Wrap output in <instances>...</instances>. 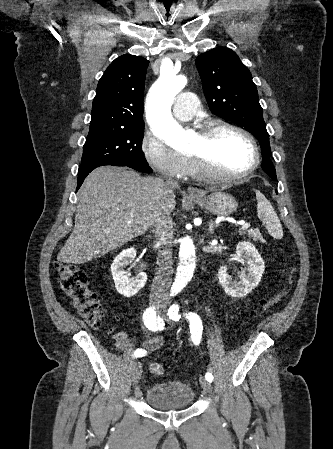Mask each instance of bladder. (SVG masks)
I'll use <instances>...</instances> for the list:
<instances>
[{
  "label": "bladder",
  "instance_id": "bladder-1",
  "mask_svg": "<svg viewBox=\"0 0 333 449\" xmlns=\"http://www.w3.org/2000/svg\"><path fill=\"white\" fill-rule=\"evenodd\" d=\"M194 397L193 388L179 381L155 383L146 392L147 403L162 410L189 407L193 404Z\"/></svg>",
  "mask_w": 333,
  "mask_h": 449
}]
</instances>
